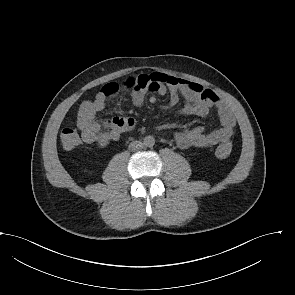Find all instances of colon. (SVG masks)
Listing matches in <instances>:
<instances>
[{"instance_id": "colon-1", "label": "colon", "mask_w": 295, "mask_h": 295, "mask_svg": "<svg viewBox=\"0 0 295 295\" xmlns=\"http://www.w3.org/2000/svg\"><path fill=\"white\" fill-rule=\"evenodd\" d=\"M133 83L131 81L127 82L125 85V88L129 89L131 88ZM119 85L116 83L107 84L102 88V92L105 95H112L118 92ZM60 139L62 142V145L65 149L71 150L77 147L81 142V136L79 131L74 127H65L62 129L60 134ZM232 152V143L230 140H226L223 143H221L217 149L216 154L218 157L225 158L229 156Z\"/></svg>"}]
</instances>
